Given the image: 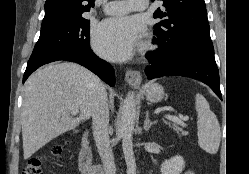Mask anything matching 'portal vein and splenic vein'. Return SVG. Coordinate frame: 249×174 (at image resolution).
I'll return each instance as SVG.
<instances>
[{
	"label": "portal vein and splenic vein",
	"instance_id": "1",
	"mask_svg": "<svg viewBox=\"0 0 249 174\" xmlns=\"http://www.w3.org/2000/svg\"><path fill=\"white\" fill-rule=\"evenodd\" d=\"M79 111L78 110H74L72 112V114L76 115ZM165 118L169 121H172L176 124H179V125H182V126H185V121L188 120V116H184V117H177V116H174V115H166Z\"/></svg>",
	"mask_w": 249,
	"mask_h": 174
}]
</instances>
